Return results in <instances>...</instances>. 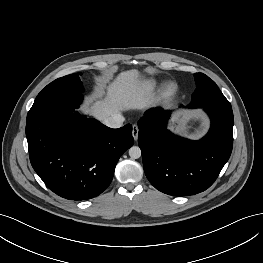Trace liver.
I'll return each mask as SVG.
<instances>
[{"mask_svg": "<svg viewBox=\"0 0 263 263\" xmlns=\"http://www.w3.org/2000/svg\"><path fill=\"white\" fill-rule=\"evenodd\" d=\"M139 80V71L121 72L107 87L105 99L94 102L89 113L100 121L112 114L131 109H143L150 103Z\"/></svg>", "mask_w": 263, "mask_h": 263, "instance_id": "1", "label": "liver"}]
</instances>
